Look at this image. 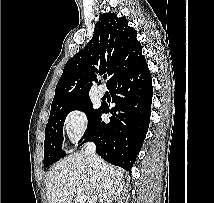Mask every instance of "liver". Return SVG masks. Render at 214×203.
Listing matches in <instances>:
<instances>
[{
    "mask_svg": "<svg viewBox=\"0 0 214 203\" xmlns=\"http://www.w3.org/2000/svg\"><path fill=\"white\" fill-rule=\"evenodd\" d=\"M103 161V160H102ZM94 169L83 150L78 151L56 163L46 176L47 198L49 203H72L77 188H82L87 199L85 203L109 202L120 196L123 173L103 161L101 181L92 177Z\"/></svg>",
    "mask_w": 214,
    "mask_h": 203,
    "instance_id": "6515ba94",
    "label": "liver"
}]
</instances>
